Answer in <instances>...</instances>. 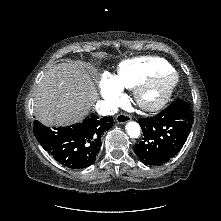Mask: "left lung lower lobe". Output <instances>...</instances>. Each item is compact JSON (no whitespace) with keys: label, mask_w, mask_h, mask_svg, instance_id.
I'll return each mask as SVG.
<instances>
[{"label":"left lung lower lobe","mask_w":221,"mask_h":221,"mask_svg":"<svg viewBox=\"0 0 221 221\" xmlns=\"http://www.w3.org/2000/svg\"><path fill=\"white\" fill-rule=\"evenodd\" d=\"M138 121L144 139L134 145V151L143 163L160 166L183 147L193 124V114L186 101L176 99L156 116Z\"/></svg>","instance_id":"left-lung-lower-lobe-1"}]
</instances>
